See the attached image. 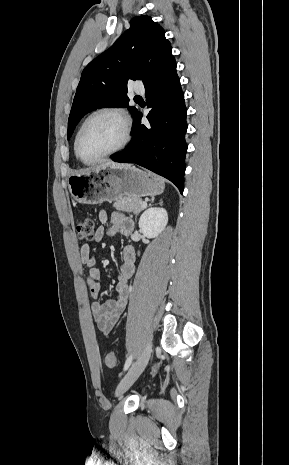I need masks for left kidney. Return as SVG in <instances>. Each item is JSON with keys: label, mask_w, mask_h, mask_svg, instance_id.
I'll return each mask as SVG.
<instances>
[{"label": "left kidney", "mask_w": 289, "mask_h": 465, "mask_svg": "<svg viewBox=\"0 0 289 465\" xmlns=\"http://www.w3.org/2000/svg\"><path fill=\"white\" fill-rule=\"evenodd\" d=\"M168 223V214L164 208L151 207L143 212L139 219V228L148 238L157 237Z\"/></svg>", "instance_id": "1"}]
</instances>
